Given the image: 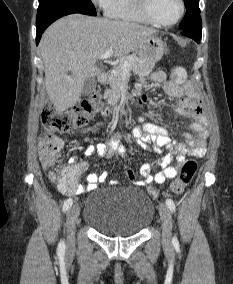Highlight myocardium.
<instances>
[{"instance_id":"obj_1","label":"myocardium","mask_w":233,"mask_h":284,"mask_svg":"<svg viewBox=\"0 0 233 284\" xmlns=\"http://www.w3.org/2000/svg\"><path fill=\"white\" fill-rule=\"evenodd\" d=\"M139 1V7L141 12L144 14V16L151 21L153 24L160 26V27H171L175 24H177L182 17L184 16L185 13V3L184 0H178L179 6H180V11L175 20L172 22H161L159 21L152 13L151 8H150V0H138Z\"/></svg>"}]
</instances>
